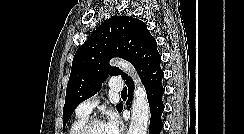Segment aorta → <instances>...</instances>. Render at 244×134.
I'll use <instances>...</instances> for the list:
<instances>
[{
    "label": "aorta",
    "instance_id": "obj_1",
    "mask_svg": "<svg viewBox=\"0 0 244 134\" xmlns=\"http://www.w3.org/2000/svg\"><path fill=\"white\" fill-rule=\"evenodd\" d=\"M111 64L130 74L135 81L131 121L127 134H146L150 120V107L147 100L146 90L139 82L136 71L130 63L122 59H113Z\"/></svg>",
    "mask_w": 244,
    "mask_h": 134
}]
</instances>
